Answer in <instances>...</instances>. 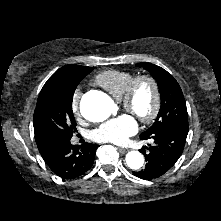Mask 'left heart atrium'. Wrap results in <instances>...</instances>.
<instances>
[{
  "mask_svg": "<svg viewBox=\"0 0 221 221\" xmlns=\"http://www.w3.org/2000/svg\"><path fill=\"white\" fill-rule=\"evenodd\" d=\"M138 125L134 117L122 114L97 127L92 135L98 142L125 144L129 137L137 132Z\"/></svg>",
  "mask_w": 221,
  "mask_h": 221,
  "instance_id": "1",
  "label": "left heart atrium"
}]
</instances>
